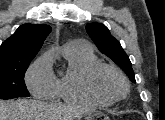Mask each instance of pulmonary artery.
Wrapping results in <instances>:
<instances>
[{
    "mask_svg": "<svg viewBox=\"0 0 165 120\" xmlns=\"http://www.w3.org/2000/svg\"><path fill=\"white\" fill-rule=\"evenodd\" d=\"M66 47H82L87 48V45L82 41H72L66 45Z\"/></svg>",
    "mask_w": 165,
    "mask_h": 120,
    "instance_id": "e3ab8cb5",
    "label": "pulmonary artery"
}]
</instances>
